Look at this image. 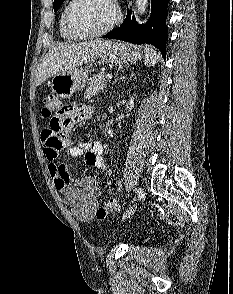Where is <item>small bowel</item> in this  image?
<instances>
[{"label":"small bowel","mask_w":233,"mask_h":294,"mask_svg":"<svg viewBox=\"0 0 233 294\" xmlns=\"http://www.w3.org/2000/svg\"><path fill=\"white\" fill-rule=\"evenodd\" d=\"M93 113L91 103L63 104L61 110H53V117H48L46 129L41 132L44 153L49 161V172L56 189L63 194L66 204L73 215L83 222L94 219L98 208L100 187L92 177L76 179L70 176L67 163L59 160V154L73 157L84 156L88 166L96 168L105 175H110V167L103 156V147L98 141L70 143L73 136L72 126L85 122Z\"/></svg>","instance_id":"obj_1"}]
</instances>
